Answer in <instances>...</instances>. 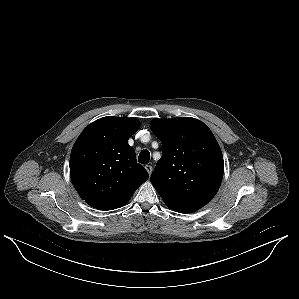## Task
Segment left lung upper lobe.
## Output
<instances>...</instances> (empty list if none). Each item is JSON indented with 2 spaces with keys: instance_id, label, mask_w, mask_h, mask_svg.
<instances>
[{
  "instance_id": "1",
  "label": "left lung upper lobe",
  "mask_w": 299,
  "mask_h": 299,
  "mask_svg": "<svg viewBox=\"0 0 299 299\" xmlns=\"http://www.w3.org/2000/svg\"><path fill=\"white\" fill-rule=\"evenodd\" d=\"M151 129L162 141V158L151 183L172 210L191 213L217 193L224 172L220 146L211 130L190 117L154 119Z\"/></svg>"
}]
</instances>
